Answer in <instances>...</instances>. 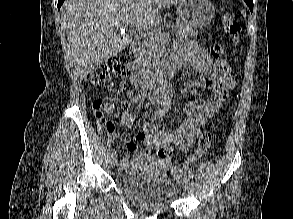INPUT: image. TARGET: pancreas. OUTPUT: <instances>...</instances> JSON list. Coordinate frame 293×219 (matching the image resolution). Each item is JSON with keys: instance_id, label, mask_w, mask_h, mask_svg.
<instances>
[{"instance_id": "cf45deb5", "label": "pancreas", "mask_w": 293, "mask_h": 219, "mask_svg": "<svg viewBox=\"0 0 293 219\" xmlns=\"http://www.w3.org/2000/svg\"><path fill=\"white\" fill-rule=\"evenodd\" d=\"M173 31H175L178 36L182 37H195L197 35L192 29V26L180 18L175 20ZM144 49L150 60L157 58L158 54H161L164 51L161 30L151 29L148 32L144 43Z\"/></svg>"}]
</instances>
